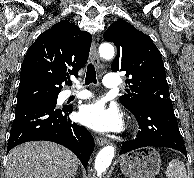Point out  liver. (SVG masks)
Segmentation results:
<instances>
[{
    "instance_id": "6515ba94",
    "label": "liver",
    "mask_w": 194,
    "mask_h": 178,
    "mask_svg": "<svg viewBox=\"0 0 194 178\" xmlns=\"http://www.w3.org/2000/svg\"><path fill=\"white\" fill-rule=\"evenodd\" d=\"M78 165V158L65 147L48 141H32L9 152L6 178H72Z\"/></svg>"
}]
</instances>
